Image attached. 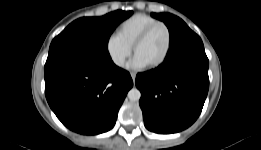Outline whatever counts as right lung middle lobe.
Here are the masks:
<instances>
[{
	"mask_svg": "<svg viewBox=\"0 0 261 150\" xmlns=\"http://www.w3.org/2000/svg\"><path fill=\"white\" fill-rule=\"evenodd\" d=\"M131 15V11L117 10L102 17L79 18L53 39L48 56L76 54L110 57L109 37L116 26Z\"/></svg>",
	"mask_w": 261,
	"mask_h": 150,
	"instance_id": "right-lung-middle-lobe-1",
	"label": "right lung middle lobe"
}]
</instances>
